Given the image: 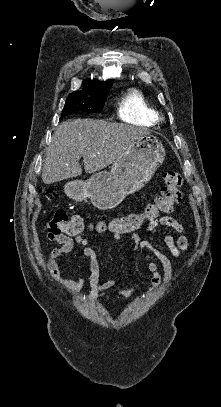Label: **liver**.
<instances>
[{
	"label": "liver",
	"mask_w": 221,
	"mask_h": 407,
	"mask_svg": "<svg viewBox=\"0 0 221 407\" xmlns=\"http://www.w3.org/2000/svg\"><path fill=\"white\" fill-rule=\"evenodd\" d=\"M149 134L144 128L105 120L74 119L62 122L54 132L42 169V180L52 184L80 176L83 157L86 173L114 163L138 138Z\"/></svg>",
	"instance_id": "1"
}]
</instances>
